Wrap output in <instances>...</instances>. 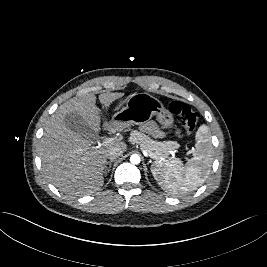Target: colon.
<instances>
[{
    "label": "colon",
    "mask_w": 267,
    "mask_h": 267,
    "mask_svg": "<svg viewBox=\"0 0 267 267\" xmlns=\"http://www.w3.org/2000/svg\"><path fill=\"white\" fill-rule=\"evenodd\" d=\"M169 109L182 122L187 134H192L198 123V113L194 111L188 104H185L181 101L171 102Z\"/></svg>",
    "instance_id": "5ec220e1"
}]
</instances>
